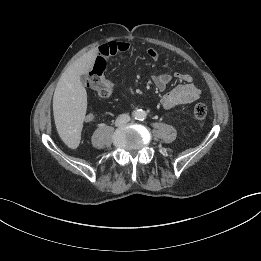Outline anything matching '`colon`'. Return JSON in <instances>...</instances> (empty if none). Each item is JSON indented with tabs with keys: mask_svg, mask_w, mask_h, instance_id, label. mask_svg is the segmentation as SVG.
Here are the masks:
<instances>
[{
	"mask_svg": "<svg viewBox=\"0 0 261 261\" xmlns=\"http://www.w3.org/2000/svg\"><path fill=\"white\" fill-rule=\"evenodd\" d=\"M105 65L102 62H97L88 79L87 85L90 90L98 94L99 96H108L112 93V89L109 86L107 80L103 76ZM208 108L204 103H198L194 107V117L197 120H203L206 118Z\"/></svg>",
	"mask_w": 261,
	"mask_h": 261,
	"instance_id": "colon-1",
	"label": "colon"
}]
</instances>
